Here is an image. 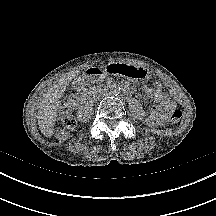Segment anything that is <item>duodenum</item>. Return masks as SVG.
<instances>
[{
	"label": "duodenum",
	"instance_id": "410a0bca",
	"mask_svg": "<svg viewBox=\"0 0 216 216\" xmlns=\"http://www.w3.org/2000/svg\"><path fill=\"white\" fill-rule=\"evenodd\" d=\"M106 72H107V69H103V68H101V69L92 68V69H89L87 71V73L89 75H91V76H97V77L104 75ZM123 87L128 92L132 91V88L130 86H128V85H125ZM96 93H98V91ZM88 98H89V94L88 93H76V94H74V95H72L70 97L69 103L74 107V106L82 104Z\"/></svg>",
	"mask_w": 216,
	"mask_h": 216
}]
</instances>
